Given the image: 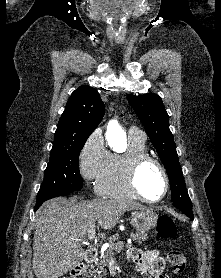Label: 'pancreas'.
Instances as JSON below:
<instances>
[{
    "mask_svg": "<svg viewBox=\"0 0 221 278\" xmlns=\"http://www.w3.org/2000/svg\"><path fill=\"white\" fill-rule=\"evenodd\" d=\"M147 237V234L144 232H137L132 233L131 238L133 241H137L138 244H141L142 241H145ZM118 240V236H112L109 238V241L111 242V245L109 249L101 255V261H100V271L98 272V275H95L94 278H102L104 275H106V269L105 267L108 266V263L110 262L113 255L116 253H119L123 249V245L120 244V242L114 243ZM131 245H128L130 247ZM93 269L92 267L89 268V273L92 276L94 272L91 271Z\"/></svg>",
    "mask_w": 221,
    "mask_h": 278,
    "instance_id": "pancreas-1",
    "label": "pancreas"
}]
</instances>
